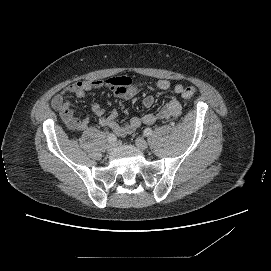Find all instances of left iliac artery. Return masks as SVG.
<instances>
[{
	"label": "left iliac artery",
	"instance_id": "44dca946",
	"mask_svg": "<svg viewBox=\"0 0 271 271\" xmlns=\"http://www.w3.org/2000/svg\"><path fill=\"white\" fill-rule=\"evenodd\" d=\"M151 134H152V129L151 128L147 127V128L144 129V135L145 136H149Z\"/></svg>",
	"mask_w": 271,
	"mask_h": 271
}]
</instances>
